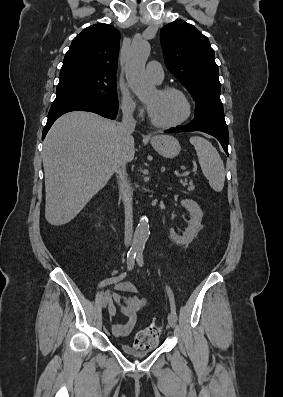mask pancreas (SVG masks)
I'll use <instances>...</instances> for the list:
<instances>
[{
    "mask_svg": "<svg viewBox=\"0 0 283 397\" xmlns=\"http://www.w3.org/2000/svg\"><path fill=\"white\" fill-rule=\"evenodd\" d=\"M180 183L183 186H188L187 187L188 191H193L194 190V185H193V182L191 180L190 181H188L187 179L181 180Z\"/></svg>",
    "mask_w": 283,
    "mask_h": 397,
    "instance_id": "cf45deb5",
    "label": "pancreas"
}]
</instances>
